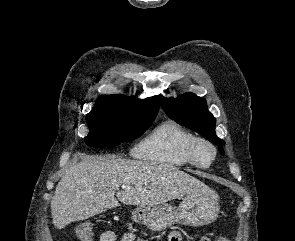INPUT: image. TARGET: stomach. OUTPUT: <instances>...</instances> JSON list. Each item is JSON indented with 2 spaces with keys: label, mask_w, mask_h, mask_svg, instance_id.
Wrapping results in <instances>:
<instances>
[{
  "label": "stomach",
  "mask_w": 295,
  "mask_h": 241,
  "mask_svg": "<svg viewBox=\"0 0 295 241\" xmlns=\"http://www.w3.org/2000/svg\"><path fill=\"white\" fill-rule=\"evenodd\" d=\"M219 196L211 189L187 195L175 208L168 203L140 205L132 212V219L152 231H162L174 224L203 226L214 222L219 215Z\"/></svg>",
  "instance_id": "1"
}]
</instances>
